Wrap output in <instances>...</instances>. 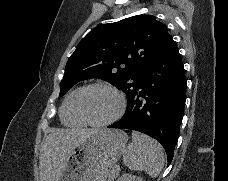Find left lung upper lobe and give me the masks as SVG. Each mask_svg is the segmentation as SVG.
Listing matches in <instances>:
<instances>
[{
    "instance_id": "1",
    "label": "left lung upper lobe",
    "mask_w": 228,
    "mask_h": 181,
    "mask_svg": "<svg viewBox=\"0 0 228 181\" xmlns=\"http://www.w3.org/2000/svg\"><path fill=\"white\" fill-rule=\"evenodd\" d=\"M171 39L152 15H136L92 29L69 58L60 96L81 80L99 78L128 97L143 67Z\"/></svg>"
}]
</instances>
